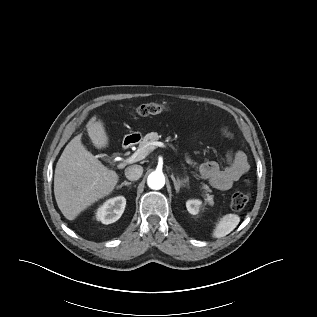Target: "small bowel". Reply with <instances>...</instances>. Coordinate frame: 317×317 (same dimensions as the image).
<instances>
[{
	"instance_id": "small-bowel-1",
	"label": "small bowel",
	"mask_w": 317,
	"mask_h": 317,
	"mask_svg": "<svg viewBox=\"0 0 317 317\" xmlns=\"http://www.w3.org/2000/svg\"><path fill=\"white\" fill-rule=\"evenodd\" d=\"M200 176L219 190H227L245 174L250 166L243 151H230L226 155V163L220 166L215 161L197 164L191 161Z\"/></svg>"
}]
</instances>
